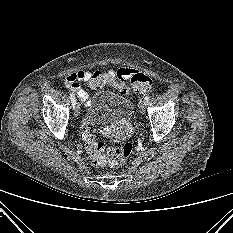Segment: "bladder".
<instances>
[{"mask_svg":"<svg viewBox=\"0 0 233 233\" xmlns=\"http://www.w3.org/2000/svg\"><path fill=\"white\" fill-rule=\"evenodd\" d=\"M132 114L133 105L127 97L106 90L97 91L86 108L87 119L95 125L110 124Z\"/></svg>","mask_w":233,"mask_h":233,"instance_id":"bladder-1","label":"bladder"}]
</instances>
